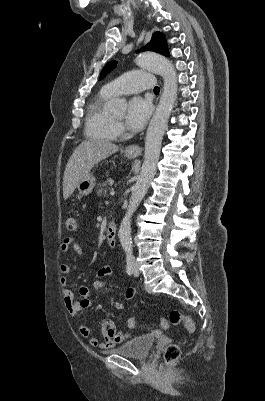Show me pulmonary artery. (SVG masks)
Returning a JSON list of instances; mask_svg holds the SVG:
<instances>
[{"label": "pulmonary artery", "instance_id": "pulmonary-artery-1", "mask_svg": "<svg viewBox=\"0 0 265 401\" xmlns=\"http://www.w3.org/2000/svg\"><path fill=\"white\" fill-rule=\"evenodd\" d=\"M153 87V77L149 72H125L117 77V81L106 85V90L114 96L120 93L140 95L141 90H152Z\"/></svg>", "mask_w": 265, "mask_h": 401}]
</instances>
